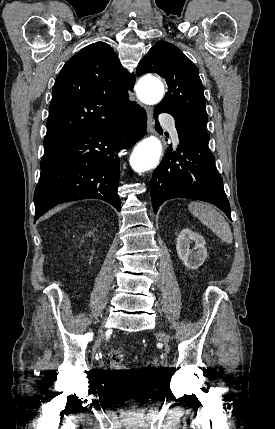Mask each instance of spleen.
<instances>
[{
	"instance_id": "obj_1",
	"label": "spleen",
	"mask_w": 275,
	"mask_h": 429,
	"mask_svg": "<svg viewBox=\"0 0 275 429\" xmlns=\"http://www.w3.org/2000/svg\"><path fill=\"white\" fill-rule=\"evenodd\" d=\"M188 209L204 225L210 228L216 236L228 244L232 243L233 237L228 222L211 205L202 202H191Z\"/></svg>"
}]
</instances>
